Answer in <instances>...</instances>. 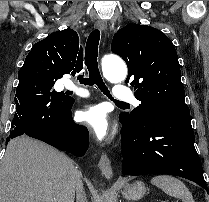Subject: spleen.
Returning <instances> with one entry per match:
<instances>
[{
    "label": "spleen",
    "mask_w": 209,
    "mask_h": 202,
    "mask_svg": "<svg viewBox=\"0 0 209 202\" xmlns=\"http://www.w3.org/2000/svg\"><path fill=\"white\" fill-rule=\"evenodd\" d=\"M151 184L160 188L167 195L181 199L182 202H195L186 185L175 177L158 175L151 179Z\"/></svg>",
    "instance_id": "spleen-1"
}]
</instances>
